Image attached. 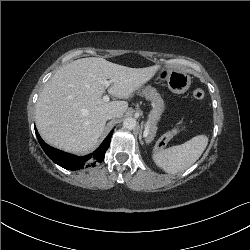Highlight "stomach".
<instances>
[{
    "instance_id": "obj_1",
    "label": "stomach",
    "mask_w": 250,
    "mask_h": 250,
    "mask_svg": "<svg viewBox=\"0 0 250 250\" xmlns=\"http://www.w3.org/2000/svg\"><path fill=\"white\" fill-rule=\"evenodd\" d=\"M159 77L165 79L168 88L176 94L186 92L191 85V77L181 70L161 68L159 70Z\"/></svg>"
}]
</instances>
